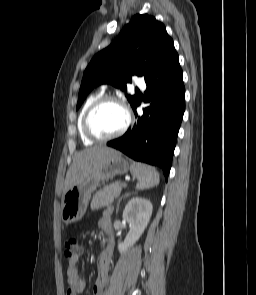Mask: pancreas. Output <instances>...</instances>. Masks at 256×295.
I'll list each match as a JSON object with an SVG mask.
<instances>
[{"label":"pancreas","mask_w":256,"mask_h":295,"mask_svg":"<svg viewBox=\"0 0 256 295\" xmlns=\"http://www.w3.org/2000/svg\"><path fill=\"white\" fill-rule=\"evenodd\" d=\"M124 182L116 181L98 190L92 198L91 209L98 210L110 205L124 188Z\"/></svg>","instance_id":"cf45deb5"}]
</instances>
